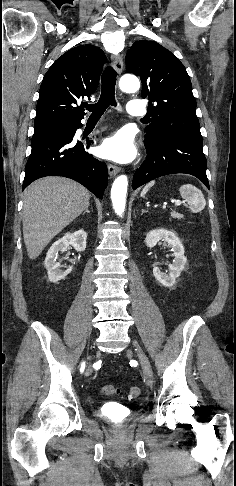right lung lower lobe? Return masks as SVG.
Masks as SVG:
<instances>
[{"mask_svg": "<svg viewBox=\"0 0 236 486\" xmlns=\"http://www.w3.org/2000/svg\"><path fill=\"white\" fill-rule=\"evenodd\" d=\"M48 131L34 133L31 155L25 167L22 191L34 180L45 176L71 178L102 199L108 182L107 167L85 151L90 146L73 139L81 119L55 122Z\"/></svg>", "mask_w": 236, "mask_h": 486, "instance_id": "1", "label": "right lung lower lobe"}]
</instances>
